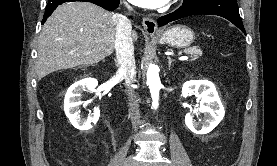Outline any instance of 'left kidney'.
Masks as SVG:
<instances>
[{
    "label": "left kidney",
    "mask_w": 277,
    "mask_h": 166,
    "mask_svg": "<svg viewBox=\"0 0 277 166\" xmlns=\"http://www.w3.org/2000/svg\"><path fill=\"white\" fill-rule=\"evenodd\" d=\"M195 94L201 99L199 112L204 113L203 122L197 123L193 120V113H187L185 124L187 128L198 135L211 132L223 119L225 115L224 107L218 96L213 83L207 80H192L183 84L182 95L184 98ZM198 114V110L196 111Z\"/></svg>",
    "instance_id": "obj_1"
}]
</instances>
